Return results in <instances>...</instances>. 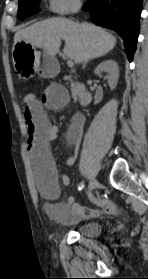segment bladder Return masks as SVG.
<instances>
[{
  "label": "bladder",
  "instance_id": "1",
  "mask_svg": "<svg viewBox=\"0 0 148 279\" xmlns=\"http://www.w3.org/2000/svg\"><path fill=\"white\" fill-rule=\"evenodd\" d=\"M75 231L80 236L95 238L101 234V225L97 222H83L75 228Z\"/></svg>",
  "mask_w": 148,
  "mask_h": 279
}]
</instances>
